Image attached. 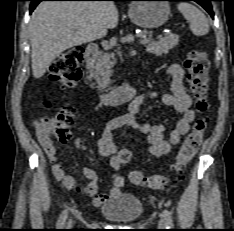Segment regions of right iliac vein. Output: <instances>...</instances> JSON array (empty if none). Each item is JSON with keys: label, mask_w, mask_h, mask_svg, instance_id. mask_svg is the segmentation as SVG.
Listing matches in <instances>:
<instances>
[{"label": "right iliac vein", "mask_w": 234, "mask_h": 231, "mask_svg": "<svg viewBox=\"0 0 234 231\" xmlns=\"http://www.w3.org/2000/svg\"><path fill=\"white\" fill-rule=\"evenodd\" d=\"M67 226H68V227H71V226H72V221H71V220H69Z\"/></svg>", "instance_id": "1"}]
</instances>
